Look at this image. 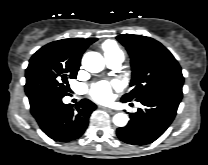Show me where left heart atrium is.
Instances as JSON below:
<instances>
[{"instance_id": "obj_1", "label": "left heart atrium", "mask_w": 208, "mask_h": 165, "mask_svg": "<svg viewBox=\"0 0 208 165\" xmlns=\"http://www.w3.org/2000/svg\"><path fill=\"white\" fill-rule=\"evenodd\" d=\"M118 88L116 82L99 81L91 86L89 94L94 100L105 103L112 98V90Z\"/></svg>"}]
</instances>
